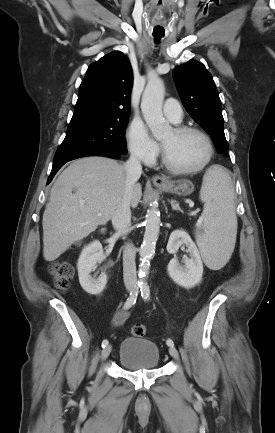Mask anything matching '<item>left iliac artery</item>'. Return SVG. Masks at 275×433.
I'll list each match as a JSON object with an SVG mask.
<instances>
[{"mask_svg":"<svg viewBox=\"0 0 275 433\" xmlns=\"http://www.w3.org/2000/svg\"><path fill=\"white\" fill-rule=\"evenodd\" d=\"M141 296H142V298H143L144 300H149V298H150V289H149V287H148L147 284H143V285L141 286ZM166 343H167V345L170 346V347H173V346H174V343H173V341H172L171 339H168V340L166 341Z\"/></svg>","mask_w":275,"mask_h":433,"instance_id":"1","label":"left iliac artery"}]
</instances>
